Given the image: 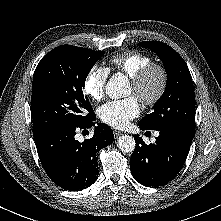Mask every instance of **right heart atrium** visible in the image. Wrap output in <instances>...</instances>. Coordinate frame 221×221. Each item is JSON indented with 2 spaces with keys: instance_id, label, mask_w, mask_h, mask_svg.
Wrapping results in <instances>:
<instances>
[{
  "instance_id": "1",
  "label": "right heart atrium",
  "mask_w": 221,
  "mask_h": 221,
  "mask_svg": "<svg viewBox=\"0 0 221 221\" xmlns=\"http://www.w3.org/2000/svg\"><path fill=\"white\" fill-rule=\"evenodd\" d=\"M108 77V68L99 65L91 67L83 83L85 94L93 101H100L104 97Z\"/></svg>"
}]
</instances>
